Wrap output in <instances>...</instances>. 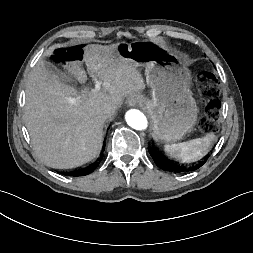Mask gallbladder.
<instances>
[{
    "instance_id": "obj_1",
    "label": "gallbladder",
    "mask_w": 253,
    "mask_h": 253,
    "mask_svg": "<svg viewBox=\"0 0 253 253\" xmlns=\"http://www.w3.org/2000/svg\"><path fill=\"white\" fill-rule=\"evenodd\" d=\"M45 68L47 69L48 72H50L52 75L58 77L62 81L68 80V76L65 73L61 72L59 69H57L53 64H51L49 62H45Z\"/></svg>"
}]
</instances>
